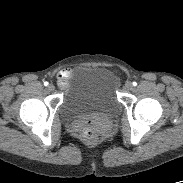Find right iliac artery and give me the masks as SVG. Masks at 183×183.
<instances>
[{"label": "right iliac artery", "instance_id": "right-iliac-artery-1", "mask_svg": "<svg viewBox=\"0 0 183 183\" xmlns=\"http://www.w3.org/2000/svg\"><path fill=\"white\" fill-rule=\"evenodd\" d=\"M48 84H49V83H48L47 81H46V82H44V86H48Z\"/></svg>", "mask_w": 183, "mask_h": 183}]
</instances>
